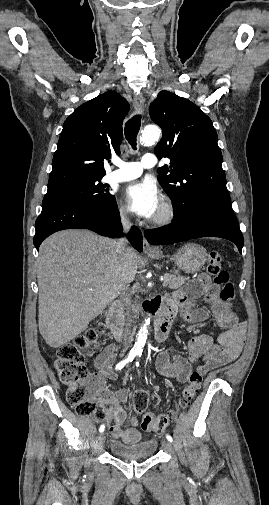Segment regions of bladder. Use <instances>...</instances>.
<instances>
[{"instance_id": "bladder-1", "label": "bladder", "mask_w": 269, "mask_h": 505, "mask_svg": "<svg viewBox=\"0 0 269 505\" xmlns=\"http://www.w3.org/2000/svg\"><path fill=\"white\" fill-rule=\"evenodd\" d=\"M157 447L158 442L154 438H149L136 443H125L119 440H112L109 443L111 453L123 459L151 457L156 453Z\"/></svg>"}]
</instances>
